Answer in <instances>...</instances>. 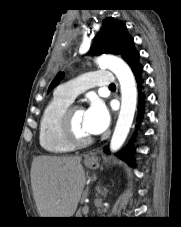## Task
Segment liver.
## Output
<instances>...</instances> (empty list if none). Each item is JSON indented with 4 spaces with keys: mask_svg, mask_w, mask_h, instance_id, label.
I'll return each mask as SVG.
<instances>
[{
    "mask_svg": "<svg viewBox=\"0 0 181 227\" xmlns=\"http://www.w3.org/2000/svg\"><path fill=\"white\" fill-rule=\"evenodd\" d=\"M80 156H38L31 166V186L41 217H72L85 186Z\"/></svg>",
    "mask_w": 181,
    "mask_h": 227,
    "instance_id": "obj_1",
    "label": "liver"
}]
</instances>
